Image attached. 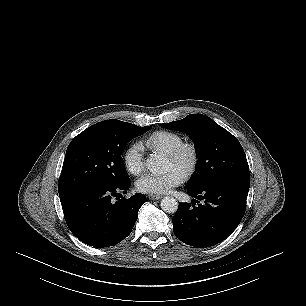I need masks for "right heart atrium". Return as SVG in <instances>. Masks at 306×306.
Wrapping results in <instances>:
<instances>
[{"label": "right heart atrium", "mask_w": 306, "mask_h": 306, "mask_svg": "<svg viewBox=\"0 0 306 306\" xmlns=\"http://www.w3.org/2000/svg\"><path fill=\"white\" fill-rule=\"evenodd\" d=\"M124 165L133 175L140 174L144 169V150L140 143L131 144L124 152Z\"/></svg>", "instance_id": "d8ad5b80"}]
</instances>
